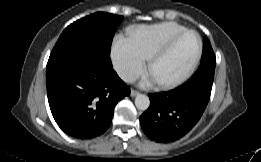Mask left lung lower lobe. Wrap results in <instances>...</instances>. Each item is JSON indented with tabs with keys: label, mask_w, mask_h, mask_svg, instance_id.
Here are the masks:
<instances>
[{
	"label": "left lung lower lobe",
	"mask_w": 261,
	"mask_h": 162,
	"mask_svg": "<svg viewBox=\"0 0 261 162\" xmlns=\"http://www.w3.org/2000/svg\"><path fill=\"white\" fill-rule=\"evenodd\" d=\"M213 67L198 69L183 85L149 94L150 107L141 115L144 133L153 141L168 143L186 135L200 120L210 99Z\"/></svg>",
	"instance_id": "obj_1"
}]
</instances>
